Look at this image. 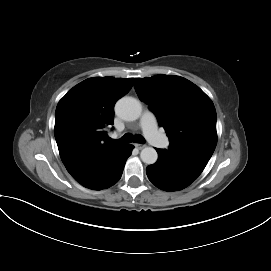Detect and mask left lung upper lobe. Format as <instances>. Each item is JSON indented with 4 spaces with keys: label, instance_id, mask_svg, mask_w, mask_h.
Instances as JSON below:
<instances>
[{
    "label": "left lung upper lobe",
    "instance_id": "5c2ea615",
    "mask_svg": "<svg viewBox=\"0 0 271 271\" xmlns=\"http://www.w3.org/2000/svg\"><path fill=\"white\" fill-rule=\"evenodd\" d=\"M134 87L164 127L168 150L211 158L217 143L216 110L198 86L180 76L156 75L135 78Z\"/></svg>",
    "mask_w": 271,
    "mask_h": 271
}]
</instances>
